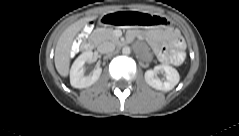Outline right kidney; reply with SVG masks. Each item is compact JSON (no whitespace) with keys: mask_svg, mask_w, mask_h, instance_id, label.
Listing matches in <instances>:
<instances>
[{"mask_svg":"<svg viewBox=\"0 0 239 136\" xmlns=\"http://www.w3.org/2000/svg\"><path fill=\"white\" fill-rule=\"evenodd\" d=\"M93 52H83L73 63L70 70V84L74 88H87L94 84L100 77L102 68L97 67L93 70L92 75H84V64L87 61H92Z\"/></svg>","mask_w":239,"mask_h":136,"instance_id":"1","label":"right kidney"}]
</instances>
